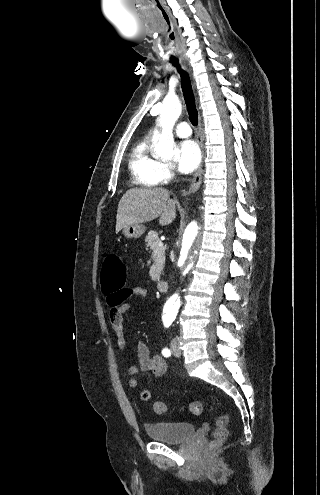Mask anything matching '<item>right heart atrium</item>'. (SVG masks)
Instances as JSON below:
<instances>
[{
	"instance_id": "d8ad5b80",
	"label": "right heart atrium",
	"mask_w": 320,
	"mask_h": 495,
	"mask_svg": "<svg viewBox=\"0 0 320 495\" xmlns=\"http://www.w3.org/2000/svg\"><path fill=\"white\" fill-rule=\"evenodd\" d=\"M174 177L173 166L169 163H161L157 171V182L167 183Z\"/></svg>"
}]
</instances>
